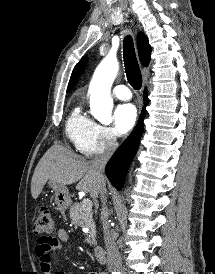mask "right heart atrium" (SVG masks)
<instances>
[{
  "mask_svg": "<svg viewBox=\"0 0 215 274\" xmlns=\"http://www.w3.org/2000/svg\"><path fill=\"white\" fill-rule=\"evenodd\" d=\"M117 145L118 142L114 130L108 126L95 123L79 151L86 156H96L113 151Z\"/></svg>",
  "mask_w": 215,
  "mask_h": 274,
  "instance_id": "obj_1",
  "label": "right heart atrium"
}]
</instances>
